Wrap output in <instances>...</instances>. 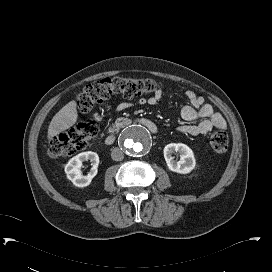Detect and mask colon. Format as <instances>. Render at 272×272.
Wrapping results in <instances>:
<instances>
[{
	"label": "colon",
	"mask_w": 272,
	"mask_h": 272,
	"mask_svg": "<svg viewBox=\"0 0 272 272\" xmlns=\"http://www.w3.org/2000/svg\"><path fill=\"white\" fill-rule=\"evenodd\" d=\"M160 85L149 78L107 77L96 83L87 85L77 97L80 112L89 113L92 108L114 93H122L127 97L151 95L158 91ZM97 124L94 120L77 123L70 131L54 136L48 146L52 157H65L84 149L97 135ZM209 146L216 154H224L229 147L228 134L219 130L214 132Z\"/></svg>",
	"instance_id": "colon-1"
}]
</instances>
